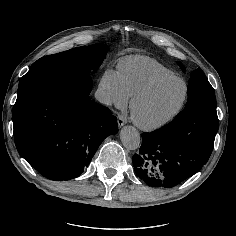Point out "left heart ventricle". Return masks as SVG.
<instances>
[{"label":"left heart ventricle","instance_id":"1","mask_svg":"<svg viewBox=\"0 0 236 236\" xmlns=\"http://www.w3.org/2000/svg\"><path fill=\"white\" fill-rule=\"evenodd\" d=\"M183 92L184 86L180 81L158 86L136 103V116L148 123L163 119L178 106Z\"/></svg>","mask_w":236,"mask_h":236}]
</instances>
